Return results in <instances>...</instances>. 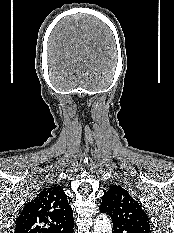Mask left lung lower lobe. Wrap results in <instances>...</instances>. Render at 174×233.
<instances>
[{
    "label": "left lung lower lobe",
    "mask_w": 174,
    "mask_h": 233,
    "mask_svg": "<svg viewBox=\"0 0 174 233\" xmlns=\"http://www.w3.org/2000/svg\"><path fill=\"white\" fill-rule=\"evenodd\" d=\"M112 233H138L135 230L128 229L124 226L119 224H113V231Z\"/></svg>",
    "instance_id": "left-lung-lower-lobe-1"
}]
</instances>
